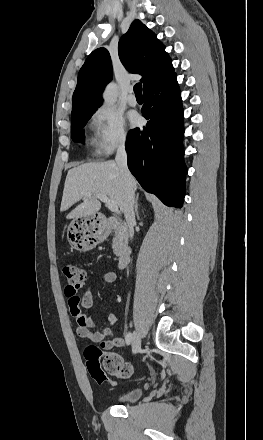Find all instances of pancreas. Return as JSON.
Returning a JSON list of instances; mask_svg holds the SVG:
<instances>
[{"mask_svg":"<svg viewBox=\"0 0 263 440\" xmlns=\"http://www.w3.org/2000/svg\"><path fill=\"white\" fill-rule=\"evenodd\" d=\"M121 245H122V234L119 230H116L112 244L113 252L115 255L120 254Z\"/></svg>","mask_w":263,"mask_h":440,"instance_id":"cf45deb5","label":"pancreas"}]
</instances>
